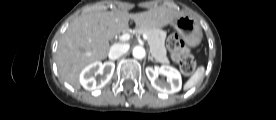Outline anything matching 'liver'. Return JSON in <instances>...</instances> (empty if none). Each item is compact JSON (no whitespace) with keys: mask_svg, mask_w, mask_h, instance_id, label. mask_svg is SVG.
Here are the masks:
<instances>
[{"mask_svg":"<svg viewBox=\"0 0 276 120\" xmlns=\"http://www.w3.org/2000/svg\"><path fill=\"white\" fill-rule=\"evenodd\" d=\"M182 14L178 10L161 6L136 14L98 11L75 19L61 37L56 53L61 78L75 89H80V71L107 57L109 40L126 31L130 19L137 28L157 29L173 23Z\"/></svg>","mask_w":276,"mask_h":120,"instance_id":"1","label":"liver"}]
</instances>
